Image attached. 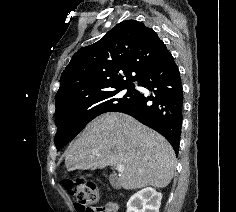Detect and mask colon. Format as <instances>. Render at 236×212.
<instances>
[{
  "instance_id": "colon-1",
  "label": "colon",
  "mask_w": 236,
  "mask_h": 212,
  "mask_svg": "<svg viewBox=\"0 0 236 212\" xmlns=\"http://www.w3.org/2000/svg\"><path fill=\"white\" fill-rule=\"evenodd\" d=\"M66 190L74 197L79 212H102L99 187L92 181L76 178L64 181Z\"/></svg>"
}]
</instances>
